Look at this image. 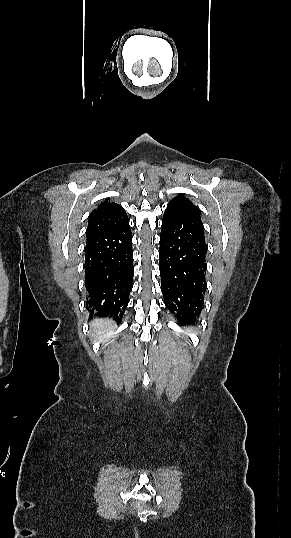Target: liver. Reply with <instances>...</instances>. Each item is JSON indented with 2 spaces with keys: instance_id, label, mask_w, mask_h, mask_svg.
<instances>
[{
  "instance_id": "6515ba94",
  "label": "liver",
  "mask_w": 291,
  "mask_h": 538,
  "mask_svg": "<svg viewBox=\"0 0 291 538\" xmlns=\"http://www.w3.org/2000/svg\"><path fill=\"white\" fill-rule=\"evenodd\" d=\"M112 324L113 322L108 319H96L91 323V326L95 329H98V338H104L105 340H108V337L113 329Z\"/></svg>"
}]
</instances>
